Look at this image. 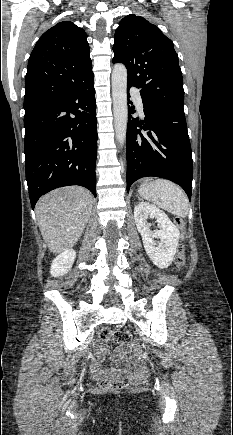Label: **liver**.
I'll use <instances>...</instances> for the list:
<instances>
[{"instance_id": "6515ba94", "label": "liver", "mask_w": 233, "mask_h": 435, "mask_svg": "<svg viewBox=\"0 0 233 435\" xmlns=\"http://www.w3.org/2000/svg\"><path fill=\"white\" fill-rule=\"evenodd\" d=\"M93 196L80 186L59 188L42 196L35 212L49 250L61 253L78 241L91 216Z\"/></svg>"}]
</instances>
